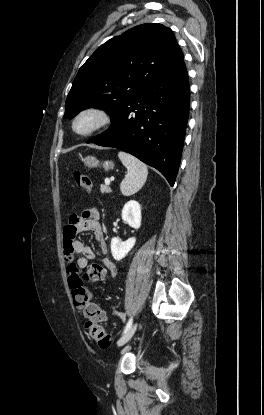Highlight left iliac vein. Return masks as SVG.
Here are the masks:
<instances>
[{"instance_id":"4c4485c4","label":"left iliac vein","mask_w":264,"mask_h":415,"mask_svg":"<svg viewBox=\"0 0 264 415\" xmlns=\"http://www.w3.org/2000/svg\"><path fill=\"white\" fill-rule=\"evenodd\" d=\"M138 323L133 324L127 332H125L121 338L117 341L118 346H123L126 344L134 335L136 329H137Z\"/></svg>"}]
</instances>
